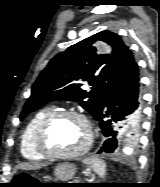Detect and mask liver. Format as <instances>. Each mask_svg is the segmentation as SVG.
<instances>
[{"instance_id":"liver-1","label":"liver","mask_w":160,"mask_h":187,"mask_svg":"<svg viewBox=\"0 0 160 187\" xmlns=\"http://www.w3.org/2000/svg\"><path fill=\"white\" fill-rule=\"evenodd\" d=\"M21 168H23V169H32V168H34V165L25 164V165H22Z\"/></svg>"}]
</instances>
